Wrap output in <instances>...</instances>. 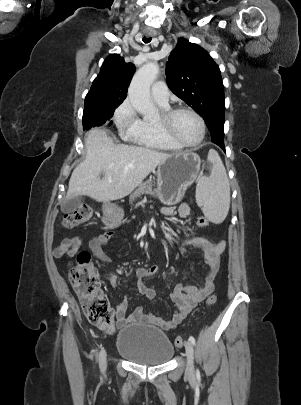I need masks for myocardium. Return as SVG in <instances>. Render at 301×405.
<instances>
[{"label":"myocardium","mask_w":301,"mask_h":405,"mask_svg":"<svg viewBox=\"0 0 301 405\" xmlns=\"http://www.w3.org/2000/svg\"><path fill=\"white\" fill-rule=\"evenodd\" d=\"M182 112H188V113L192 114L199 122L200 130H201L200 137L194 143L183 142L175 135V133L172 130L173 119L175 118V116L177 114L182 113ZM156 124H157L158 130L165 138H167L168 140H170L171 142H173L174 144L178 145L181 148H195V147L199 146L203 142V140L205 138V134H206V125H205V121L202 118V116L194 109H192L190 107H186V106H179V107L163 110L161 112L160 116L158 117V119L156 120Z\"/></svg>","instance_id":"1"}]
</instances>
